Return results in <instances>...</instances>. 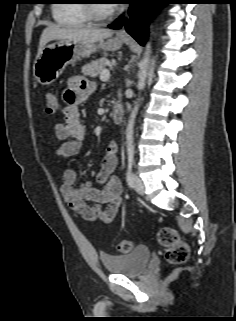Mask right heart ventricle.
I'll return each instance as SVG.
<instances>
[{
    "label": "right heart ventricle",
    "mask_w": 236,
    "mask_h": 321,
    "mask_svg": "<svg viewBox=\"0 0 236 321\" xmlns=\"http://www.w3.org/2000/svg\"><path fill=\"white\" fill-rule=\"evenodd\" d=\"M83 2V0H60L53 6V19L62 26L86 25L89 20L85 14Z\"/></svg>",
    "instance_id": "e07e8e85"
}]
</instances>
